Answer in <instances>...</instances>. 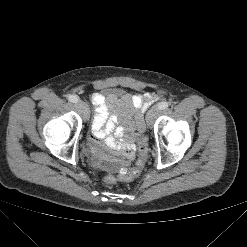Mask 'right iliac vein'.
<instances>
[{"mask_svg":"<svg viewBox=\"0 0 247 247\" xmlns=\"http://www.w3.org/2000/svg\"><path fill=\"white\" fill-rule=\"evenodd\" d=\"M76 108L80 111L83 118L87 120L89 118V108L87 104L81 100L77 101L75 104Z\"/></svg>","mask_w":247,"mask_h":247,"instance_id":"1","label":"right iliac vein"}]
</instances>
